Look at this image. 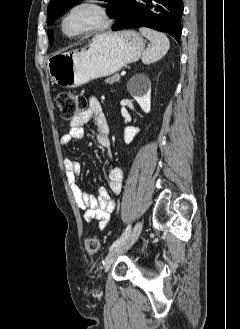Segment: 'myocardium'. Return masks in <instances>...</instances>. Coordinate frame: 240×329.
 Masks as SVG:
<instances>
[{"mask_svg":"<svg viewBox=\"0 0 240 329\" xmlns=\"http://www.w3.org/2000/svg\"><path fill=\"white\" fill-rule=\"evenodd\" d=\"M93 8L98 14V21L86 28L78 31L69 32L65 28V23L69 17L80 8ZM112 22L111 13L108 5L103 0H78L73 3L61 16L59 21V29L63 36L69 39H77L84 37L102 30H105L110 26Z\"/></svg>","mask_w":240,"mask_h":329,"instance_id":"1","label":"myocardium"}]
</instances>
